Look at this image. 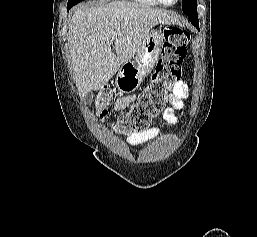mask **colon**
I'll list each match as a JSON object with an SVG mask.
<instances>
[{
	"label": "colon",
	"mask_w": 257,
	"mask_h": 237,
	"mask_svg": "<svg viewBox=\"0 0 257 237\" xmlns=\"http://www.w3.org/2000/svg\"><path fill=\"white\" fill-rule=\"evenodd\" d=\"M189 40L188 31L179 27L169 26L163 30L162 56L138 103L112 124L118 133L130 134L145 130L151 119L163 110L168 91L181 75V64L186 57ZM114 97L113 90L108 86L98 92L95 111L99 119L106 118L108 106Z\"/></svg>",
	"instance_id": "colon-1"
}]
</instances>
